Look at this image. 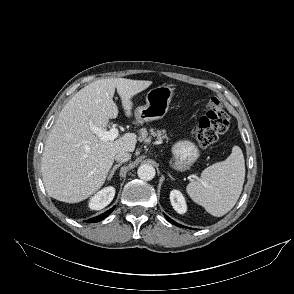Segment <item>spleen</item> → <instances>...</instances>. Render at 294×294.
Masks as SVG:
<instances>
[{
    "label": "spleen",
    "mask_w": 294,
    "mask_h": 294,
    "mask_svg": "<svg viewBox=\"0 0 294 294\" xmlns=\"http://www.w3.org/2000/svg\"><path fill=\"white\" fill-rule=\"evenodd\" d=\"M245 179V162L242 150L232 148L230 156L206 168L200 181L187 185L191 199L213 216L221 217L236 204Z\"/></svg>",
    "instance_id": "1"
}]
</instances>
